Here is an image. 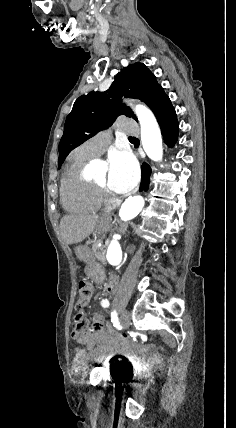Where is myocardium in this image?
Here are the masks:
<instances>
[{"label":"myocardium","mask_w":236,"mask_h":428,"mask_svg":"<svg viewBox=\"0 0 236 428\" xmlns=\"http://www.w3.org/2000/svg\"><path fill=\"white\" fill-rule=\"evenodd\" d=\"M93 182L103 203H112L121 199L120 197H117L115 194H113L105 184L99 183L96 180H93Z\"/></svg>","instance_id":"1"}]
</instances>
